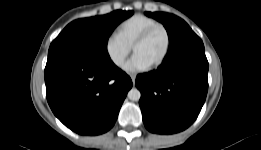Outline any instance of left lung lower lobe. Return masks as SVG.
<instances>
[{
  "label": "left lung lower lobe",
  "instance_id": "1",
  "mask_svg": "<svg viewBox=\"0 0 261 150\" xmlns=\"http://www.w3.org/2000/svg\"><path fill=\"white\" fill-rule=\"evenodd\" d=\"M207 73L203 42L193 31L189 32L170 47L157 70L136 78L145 127L157 134L188 128L205 102Z\"/></svg>",
  "mask_w": 261,
  "mask_h": 150
}]
</instances>
